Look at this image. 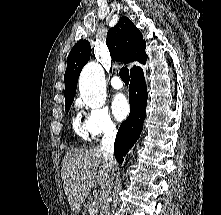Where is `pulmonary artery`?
<instances>
[{
    "mask_svg": "<svg viewBox=\"0 0 221 215\" xmlns=\"http://www.w3.org/2000/svg\"><path fill=\"white\" fill-rule=\"evenodd\" d=\"M111 86L114 89H121L123 87V81L120 76H114L111 79Z\"/></svg>",
    "mask_w": 221,
    "mask_h": 215,
    "instance_id": "pulmonary-artery-1",
    "label": "pulmonary artery"
}]
</instances>
